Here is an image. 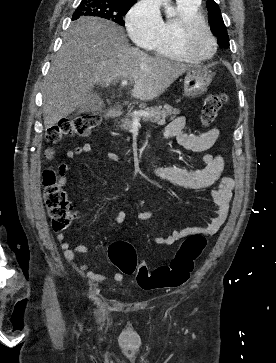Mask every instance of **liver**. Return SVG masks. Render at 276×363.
Here are the masks:
<instances>
[{
	"instance_id": "1",
	"label": "liver",
	"mask_w": 276,
	"mask_h": 363,
	"mask_svg": "<svg viewBox=\"0 0 276 363\" xmlns=\"http://www.w3.org/2000/svg\"><path fill=\"white\" fill-rule=\"evenodd\" d=\"M190 66L151 57L131 47L121 26L97 17H81L63 36L43 85V119L46 129L78 109L97 84L134 81L131 96L153 100Z\"/></svg>"
}]
</instances>
